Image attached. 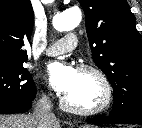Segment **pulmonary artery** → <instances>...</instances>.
I'll use <instances>...</instances> for the list:
<instances>
[{
  "label": "pulmonary artery",
  "instance_id": "e3ab8cb5",
  "mask_svg": "<svg viewBox=\"0 0 142 128\" xmlns=\"http://www.w3.org/2000/svg\"><path fill=\"white\" fill-rule=\"evenodd\" d=\"M78 44L77 36L74 33L65 35L59 41L50 45L45 54L48 56H57L60 54L68 53L76 49Z\"/></svg>",
  "mask_w": 142,
  "mask_h": 128
}]
</instances>
